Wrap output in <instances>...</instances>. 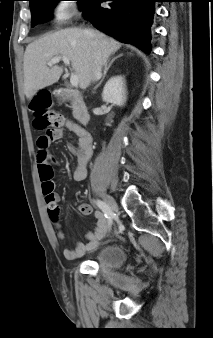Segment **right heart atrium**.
<instances>
[{"mask_svg":"<svg viewBox=\"0 0 213 338\" xmlns=\"http://www.w3.org/2000/svg\"><path fill=\"white\" fill-rule=\"evenodd\" d=\"M69 15V8L67 6H60L56 11V16L59 20L67 18Z\"/></svg>","mask_w":213,"mask_h":338,"instance_id":"right-heart-atrium-1","label":"right heart atrium"}]
</instances>
